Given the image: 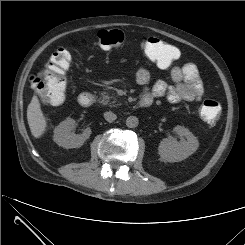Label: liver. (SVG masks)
<instances>
[{
  "mask_svg": "<svg viewBox=\"0 0 245 245\" xmlns=\"http://www.w3.org/2000/svg\"><path fill=\"white\" fill-rule=\"evenodd\" d=\"M27 120L32 135L35 138H40L46 130L47 122L36 95H33L31 102L27 107Z\"/></svg>",
  "mask_w": 245,
  "mask_h": 245,
  "instance_id": "6515ba94",
  "label": "liver"
}]
</instances>
